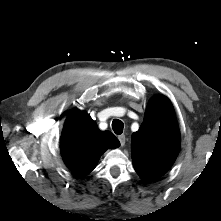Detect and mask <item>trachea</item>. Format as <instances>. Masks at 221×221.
Listing matches in <instances>:
<instances>
[{
  "label": "trachea",
  "instance_id": "3493384b",
  "mask_svg": "<svg viewBox=\"0 0 221 221\" xmlns=\"http://www.w3.org/2000/svg\"><path fill=\"white\" fill-rule=\"evenodd\" d=\"M124 124L119 119H114L112 122V129L115 132V134L120 135L123 132Z\"/></svg>",
  "mask_w": 221,
  "mask_h": 221
}]
</instances>
